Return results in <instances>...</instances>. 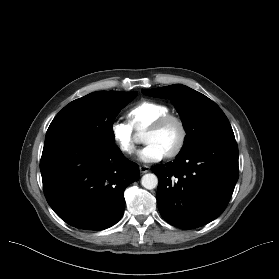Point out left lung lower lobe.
<instances>
[{
	"label": "left lung lower lobe",
	"mask_w": 279,
	"mask_h": 279,
	"mask_svg": "<svg viewBox=\"0 0 279 279\" xmlns=\"http://www.w3.org/2000/svg\"><path fill=\"white\" fill-rule=\"evenodd\" d=\"M152 171L159 178L161 216L181 229L203 226L225 210L232 196L239 176L236 140L202 142Z\"/></svg>",
	"instance_id": "left-lung-lower-lobe-1"
}]
</instances>
